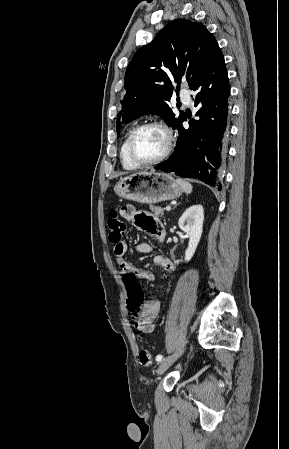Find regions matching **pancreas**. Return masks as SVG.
<instances>
[{"mask_svg":"<svg viewBox=\"0 0 289 449\" xmlns=\"http://www.w3.org/2000/svg\"><path fill=\"white\" fill-rule=\"evenodd\" d=\"M150 210L154 212L156 216H164V210L161 207L150 205Z\"/></svg>","mask_w":289,"mask_h":449,"instance_id":"1","label":"pancreas"}]
</instances>
